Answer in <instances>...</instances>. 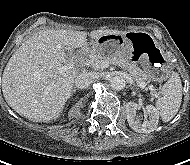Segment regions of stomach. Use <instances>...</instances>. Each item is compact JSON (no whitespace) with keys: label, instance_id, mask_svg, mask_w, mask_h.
<instances>
[{"label":"stomach","instance_id":"obj_1","mask_svg":"<svg viewBox=\"0 0 190 165\" xmlns=\"http://www.w3.org/2000/svg\"><path fill=\"white\" fill-rule=\"evenodd\" d=\"M92 51L105 57H118L127 66H133L154 81H162L170 73L166 56L159 52L153 41L146 35H102L91 43Z\"/></svg>","mask_w":190,"mask_h":165}]
</instances>
